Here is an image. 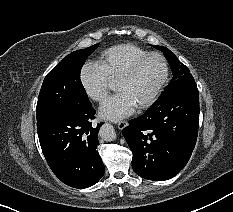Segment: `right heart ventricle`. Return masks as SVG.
Instances as JSON below:
<instances>
[{"label":"right heart ventricle","instance_id":"obj_1","mask_svg":"<svg viewBox=\"0 0 233 212\" xmlns=\"http://www.w3.org/2000/svg\"><path fill=\"white\" fill-rule=\"evenodd\" d=\"M147 53V50L131 43L119 44L103 51L97 64L107 78L113 81L117 80L134 60Z\"/></svg>","mask_w":233,"mask_h":212}]
</instances>
